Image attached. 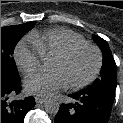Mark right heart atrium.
I'll use <instances>...</instances> for the list:
<instances>
[{"mask_svg": "<svg viewBox=\"0 0 123 123\" xmlns=\"http://www.w3.org/2000/svg\"><path fill=\"white\" fill-rule=\"evenodd\" d=\"M42 58L40 49L29 37L22 39L14 51L16 65L24 74L33 72L41 64Z\"/></svg>", "mask_w": 123, "mask_h": 123, "instance_id": "right-heart-atrium-1", "label": "right heart atrium"}]
</instances>
